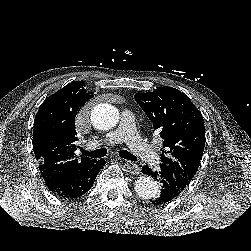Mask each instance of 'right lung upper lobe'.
Wrapping results in <instances>:
<instances>
[{
    "mask_svg": "<svg viewBox=\"0 0 251 251\" xmlns=\"http://www.w3.org/2000/svg\"><path fill=\"white\" fill-rule=\"evenodd\" d=\"M83 81H73L49 96L34 120L33 150L42 177L60 175L91 165L96 160L78 158L75 118L82 106L94 95L86 93Z\"/></svg>",
    "mask_w": 251,
    "mask_h": 251,
    "instance_id": "1",
    "label": "right lung upper lobe"
}]
</instances>
